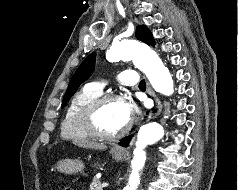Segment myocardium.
<instances>
[{
    "label": "myocardium",
    "instance_id": "1",
    "mask_svg": "<svg viewBox=\"0 0 238 190\" xmlns=\"http://www.w3.org/2000/svg\"><path fill=\"white\" fill-rule=\"evenodd\" d=\"M114 100H122V97L115 93L100 95L91 101L84 109L81 117L84 129L92 136L102 140H114L125 135L131 128L132 122L128 123L116 132L104 131L99 125V114L104 105Z\"/></svg>",
    "mask_w": 238,
    "mask_h": 190
}]
</instances>
